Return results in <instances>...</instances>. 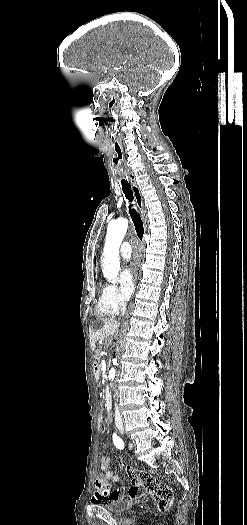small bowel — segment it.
Wrapping results in <instances>:
<instances>
[{"mask_svg": "<svg viewBox=\"0 0 247 525\" xmlns=\"http://www.w3.org/2000/svg\"><path fill=\"white\" fill-rule=\"evenodd\" d=\"M110 461V456L105 455L99 462V471L95 479L97 491L93 496L95 506H119L120 500L123 499L119 491H109L105 488L108 483L118 481V477L108 470ZM123 473L128 475L132 473V470L125 468ZM130 480L132 481L128 491L130 497H137L139 493L143 492L145 486L148 492L155 496L156 512L170 513L172 511V487L166 481L151 480L148 473H139V469H134V473L130 475Z\"/></svg>", "mask_w": 247, "mask_h": 525, "instance_id": "1", "label": "small bowel"}]
</instances>
